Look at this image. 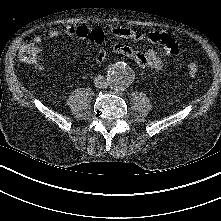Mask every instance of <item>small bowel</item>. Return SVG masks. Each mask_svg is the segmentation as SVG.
Masks as SVG:
<instances>
[{"instance_id": "c3829d8e", "label": "small bowel", "mask_w": 221, "mask_h": 221, "mask_svg": "<svg viewBox=\"0 0 221 221\" xmlns=\"http://www.w3.org/2000/svg\"><path fill=\"white\" fill-rule=\"evenodd\" d=\"M108 34L123 40H131L134 42L147 41L152 44H158L169 55L179 53V46L176 41L169 34L164 32L149 31L144 33L127 27H114L108 30ZM47 36L49 38L76 37L83 40L87 39L91 41L97 48L95 65L101 66L106 58V49L104 47L105 34L101 30L89 29L82 25L66 24L48 29ZM42 40L43 38L40 35L34 37L35 44H40ZM112 50L126 56L142 69L161 70L166 67L165 60H163L153 48L142 52L134 47L122 43H116L112 46ZM36 67L39 70H44V66L39 62L36 63Z\"/></svg>"}]
</instances>
